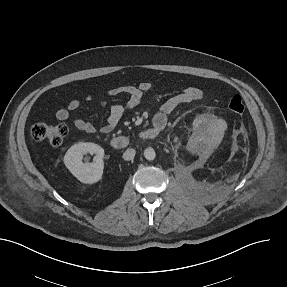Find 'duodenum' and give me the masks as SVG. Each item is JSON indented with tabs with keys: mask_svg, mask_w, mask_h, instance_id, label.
Listing matches in <instances>:
<instances>
[{
	"mask_svg": "<svg viewBox=\"0 0 287 287\" xmlns=\"http://www.w3.org/2000/svg\"><path fill=\"white\" fill-rule=\"evenodd\" d=\"M159 132L160 130L157 127H150L142 130L139 133V137L145 140H152L158 136ZM129 144H130V138L126 136H117L111 140V146L115 149L126 148L127 146H129Z\"/></svg>",
	"mask_w": 287,
	"mask_h": 287,
	"instance_id": "obj_1",
	"label": "duodenum"
}]
</instances>
